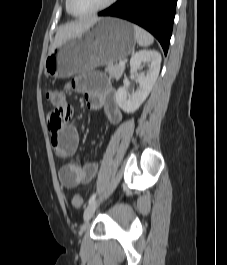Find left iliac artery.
Instances as JSON below:
<instances>
[{"mask_svg":"<svg viewBox=\"0 0 227 265\" xmlns=\"http://www.w3.org/2000/svg\"><path fill=\"white\" fill-rule=\"evenodd\" d=\"M95 198H96V193L92 194V196L89 198L88 204L94 202Z\"/></svg>","mask_w":227,"mask_h":265,"instance_id":"1","label":"left iliac artery"}]
</instances>
